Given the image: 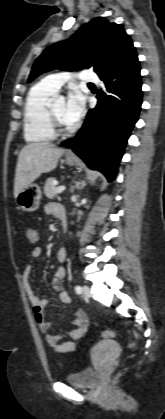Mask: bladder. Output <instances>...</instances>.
Returning <instances> with one entry per match:
<instances>
[{"mask_svg": "<svg viewBox=\"0 0 165 419\" xmlns=\"http://www.w3.org/2000/svg\"><path fill=\"white\" fill-rule=\"evenodd\" d=\"M99 379V374L94 368H84L81 371L67 374L65 381L75 387L91 388Z\"/></svg>", "mask_w": 165, "mask_h": 419, "instance_id": "bladder-1", "label": "bladder"}]
</instances>
